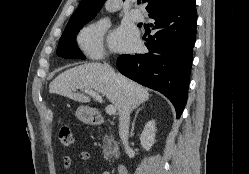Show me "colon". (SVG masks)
<instances>
[{
  "label": "colon",
  "instance_id": "colon-1",
  "mask_svg": "<svg viewBox=\"0 0 249 174\" xmlns=\"http://www.w3.org/2000/svg\"><path fill=\"white\" fill-rule=\"evenodd\" d=\"M58 141L64 148H71L74 146L75 138L68 126L63 125L58 129Z\"/></svg>",
  "mask_w": 249,
  "mask_h": 174
}]
</instances>
